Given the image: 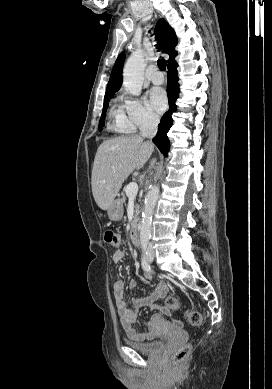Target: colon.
<instances>
[{"mask_svg":"<svg viewBox=\"0 0 272 389\" xmlns=\"http://www.w3.org/2000/svg\"><path fill=\"white\" fill-rule=\"evenodd\" d=\"M104 240L113 247H119L121 243L120 236L114 232L113 230L107 228L104 231ZM181 310V303L175 297H168L165 300V313L173 314ZM187 322L195 327H199L203 324V316L201 313L197 311L188 312L185 316ZM191 352V346L189 344H185L176 351H174L171 355V360L175 365H180L185 362Z\"/></svg>","mask_w":272,"mask_h":389,"instance_id":"obj_1","label":"colon"}]
</instances>
